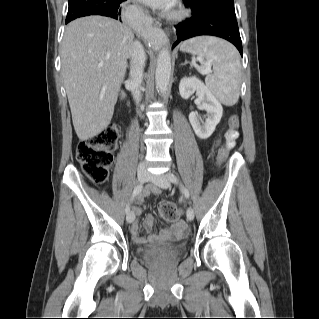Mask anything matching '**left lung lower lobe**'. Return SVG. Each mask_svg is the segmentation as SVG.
Listing matches in <instances>:
<instances>
[{
    "mask_svg": "<svg viewBox=\"0 0 319 319\" xmlns=\"http://www.w3.org/2000/svg\"><path fill=\"white\" fill-rule=\"evenodd\" d=\"M175 27L177 41L172 48L181 41L195 36L212 35L230 41L242 55V43L236 18L214 12L196 13L192 11L190 19L179 23Z\"/></svg>",
    "mask_w": 319,
    "mask_h": 319,
    "instance_id": "1",
    "label": "left lung lower lobe"
}]
</instances>
